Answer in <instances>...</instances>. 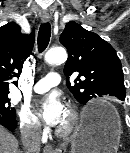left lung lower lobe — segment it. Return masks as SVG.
Segmentation results:
<instances>
[{
    "label": "left lung lower lobe",
    "instance_id": "1",
    "mask_svg": "<svg viewBox=\"0 0 130 153\" xmlns=\"http://www.w3.org/2000/svg\"><path fill=\"white\" fill-rule=\"evenodd\" d=\"M120 100V99H119ZM121 101H124V100H121ZM106 111H95V110H89L87 113H86V118L87 119H92L94 118L95 116H98L100 114H105Z\"/></svg>",
    "mask_w": 130,
    "mask_h": 153
}]
</instances>
